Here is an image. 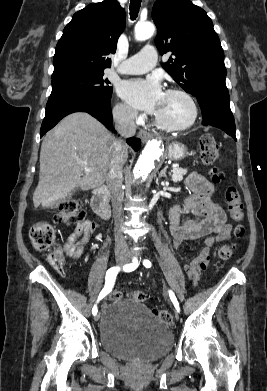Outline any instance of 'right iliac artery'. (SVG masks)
Returning <instances> with one entry per match:
<instances>
[{
	"label": "right iliac artery",
	"mask_w": 267,
	"mask_h": 391,
	"mask_svg": "<svg viewBox=\"0 0 267 391\" xmlns=\"http://www.w3.org/2000/svg\"><path fill=\"white\" fill-rule=\"evenodd\" d=\"M138 267V261L137 259H133V263L131 264H127L123 267V270L125 272H130V271H133L135 270L136 268ZM120 268L119 267H112L110 268L107 272H106V282H105V287L104 289L101 291V293L99 294V297H98V300L97 302H99L102 298L105 297V295H107L111 290H112V287L114 285V282H115V279H116V276L119 272ZM92 313L93 315H96L97 314V305H94L93 309H92Z\"/></svg>",
	"instance_id": "82829eb1"
}]
</instances>
